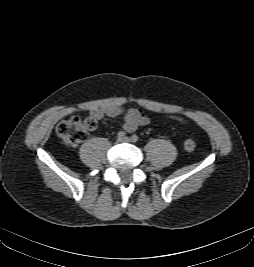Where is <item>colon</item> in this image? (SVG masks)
Instances as JSON below:
<instances>
[{"mask_svg": "<svg viewBox=\"0 0 254 267\" xmlns=\"http://www.w3.org/2000/svg\"><path fill=\"white\" fill-rule=\"evenodd\" d=\"M175 119L180 120L177 117ZM96 125L97 122L90 117L82 119L78 116H72L61 121L56 127V132L66 143L77 145L87 139L88 132L93 130ZM184 148L186 151L192 152L196 148V142L193 139H187L184 141Z\"/></svg>", "mask_w": 254, "mask_h": 267, "instance_id": "5ec220e1", "label": "colon"}]
</instances>
